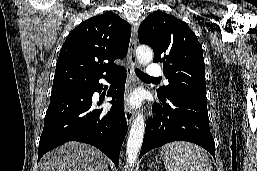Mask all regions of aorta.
<instances>
[{"label": "aorta", "mask_w": 257, "mask_h": 171, "mask_svg": "<svg viewBox=\"0 0 257 171\" xmlns=\"http://www.w3.org/2000/svg\"><path fill=\"white\" fill-rule=\"evenodd\" d=\"M138 62L147 65L153 60V51L150 47L141 45L136 50ZM145 133V119L143 114L138 113L132 122L130 135L127 141V163L131 167L137 160Z\"/></svg>", "instance_id": "aorta-1"}]
</instances>
